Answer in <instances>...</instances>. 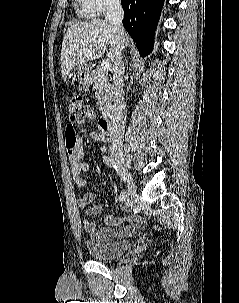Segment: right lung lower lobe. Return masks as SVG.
Instances as JSON below:
<instances>
[{
	"instance_id": "right-lung-lower-lobe-1",
	"label": "right lung lower lobe",
	"mask_w": 239,
	"mask_h": 303,
	"mask_svg": "<svg viewBox=\"0 0 239 303\" xmlns=\"http://www.w3.org/2000/svg\"><path fill=\"white\" fill-rule=\"evenodd\" d=\"M164 0H121L125 17L123 25L141 55L152 50L153 35Z\"/></svg>"
}]
</instances>
